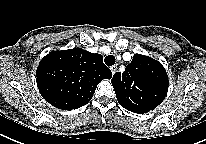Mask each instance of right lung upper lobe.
<instances>
[{"instance_id": "cb5924a9", "label": "right lung upper lobe", "mask_w": 206, "mask_h": 144, "mask_svg": "<svg viewBox=\"0 0 206 144\" xmlns=\"http://www.w3.org/2000/svg\"><path fill=\"white\" fill-rule=\"evenodd\" d=\"M36 81L42 97L63 110L86 105L99 82L110 79L112 72L101 54L82 48L52 51L39 63Z\"/></svg>"}]
</instances>
